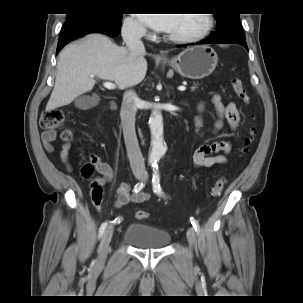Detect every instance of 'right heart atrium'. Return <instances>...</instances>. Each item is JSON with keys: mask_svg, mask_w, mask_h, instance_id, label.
Masks as SVG:
<instances>
[{"mask_svg": "<svg viewBox=\"0 0 303 303\" xmlns=\"http://www.w3.org/2000/svg\"><path fill=\"white\" fill-rule=\"evenodd\" d=\"M123 32L131 37L140 38L146 35L145 26L133 17H126L122 24Z\"/></svg>", "mask_w": 303, "mask_h": 303, "instance_id": "right-heart-atrium-1", "label": "right heart atrium"}]
</instances>
